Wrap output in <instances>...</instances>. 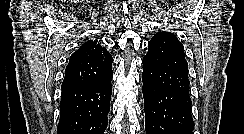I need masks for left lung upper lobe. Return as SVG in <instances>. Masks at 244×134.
Listing matches in <instances>:
<instances>
[{"label":"left lung upper lobe","mask_w":244,"mask_h":134,"mask_svg":"<svg viewBox=\"0 0 244 134\" xmlns=\"http://www.w3.org/2000/svg\"><path fill=\"white\" fill-rule=\"evenodd\" d=\"M144 70L165 88L188 89V64L184 47L170 32H158L148 43Z\"/></svg>","instance_id":"obj_1"}]
</instances>
